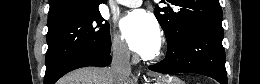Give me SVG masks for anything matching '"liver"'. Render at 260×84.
Segmentation results:
<instances>
[{"label":"liver","instance_id":"obj_1","mask_svg":"<svg viewBox=\"0 0 260 84\" xmlns=\"http://www.w3.org/2000/svg\"><path fill=\"white\" fill-rule=\"evenodd\" d=\"M59 84H133V81H119L110 68L85 67L68 73Z\"/></svg>","mask_w":260,"mask_h":84}]
</instances>
